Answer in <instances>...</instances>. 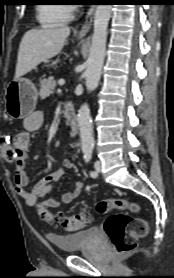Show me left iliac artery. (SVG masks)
<instances>
[{
    "label": "left iliac artery",
    "instance_id": "44dca946",
    "mask_svg": "<svg viewBox=\"0 0 174 278\" xmlns=\"http://www.w3.org/2000/svg\"><path fill=\"white\" fill-rule=\"evenodd\" d=\"M92 158V149H86L84 150V160L86 163L90 162ZM90 176L91 177H96L97 176V172L95 171H91L90 172Z\"/></svg>",
    "mask_w": 174,
    "mask_h": 278
}]
</instances>
